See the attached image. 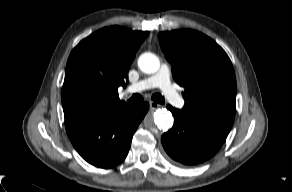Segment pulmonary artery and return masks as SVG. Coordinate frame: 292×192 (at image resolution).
<instances>
[{
  "label": "pulmonary artery",
  "mask_w": 292,
  "mask_h": 192,
  "mask_svg": "<svg viewBox=\"0 0 292 192\" xmlns=\"http://www.w3.org/2000/svg\"><path fill=\"white\" fill-rule=\"evenodd\" d=\"M171 71L167 64H162L159 70L143 80L130 85L127 92L135 93L148 89L159 88L165 98L175 107L182 108L185 104L184 99L173 88L170 81Z\"/></svg>",
  "instance_id": "obj_1"
}]
</instances>
